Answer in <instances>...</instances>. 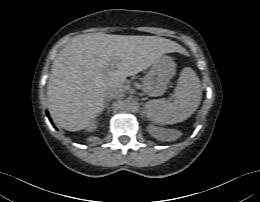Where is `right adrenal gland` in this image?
<instances>
[{"label": "right adrenal gland", "mask_w": 260, "mask_h": 202, "mask_svg": "<svg viewBox=\"0 0 260 202\" xmlns=\"http://www.w3.org/2000/svg\"><path fill=\"white\" fill-rule=\"evenodd\" d=\"M110 99H107L105 102V108L107 109V114L110 113V107H109Z\"/></svg>", "instance_id": "2a0ac1e0"}]
</instances>
